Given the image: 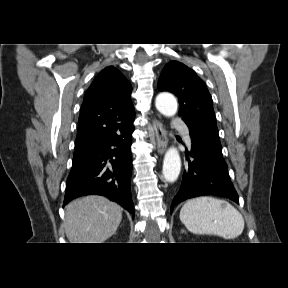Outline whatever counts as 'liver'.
Returning <instances> with one entry per match:
<instances>
[{"label": "liver", "instance_id": "obj_1", "mask_svg": "<svg viewBox=\"0 0 288 288\" xmlns=\"http://www.w3.org/2000/svg\"><path fill=\"white\" fill-rule=\"evenodd\" d=\"M122 220V208L101 196H86L70 202L65 212V233L70 243H102Z\"/></svg>", "mask_w": 288, "mask_h": 288}]
</instances>
